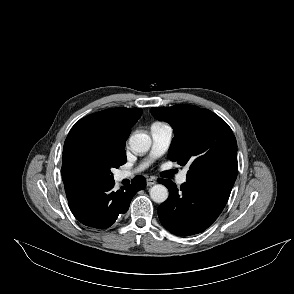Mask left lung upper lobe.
Instances as JSON below:
<instances>
[{"mask_svg": "<svg viewBox=\"0 0 294 294\" xmlns=\"http://www.w3.org/2000/svg\"><path fill=\"white\" fill-rule=\"evenodd\" d=\"M151 113L174 129L168 158L190 165L187 178L212 174L237 176V142L231 128L210 110L177 104L152 107Z\"/></svg>", "mask_w": 294, "mask_h": 294, "instance_id": "left-lung-upper-lobe-1", "label": "left lung upper lobe"}]
</instances>
